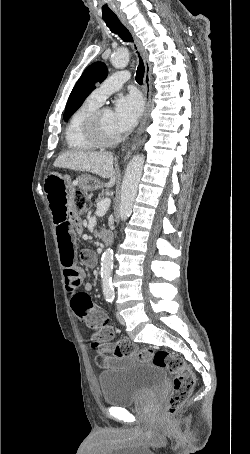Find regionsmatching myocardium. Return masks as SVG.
Wrapping results in <instances>:
<instances>
[{
  "instance_id": "myocardium-1",
  "label": "myocardium",
  "mask_w": 250,
  "mask_h": 454,
  "mask_svg": "<svg viewBox=\"0 0 250 454\" xmlns=\"http://www.w3.org/2000/svg\"><path fill=\"white\" fill-rule=\"evenodd\" d=\"M105 108L96 109L86 120L85 130L87 137L99 147L112 146L119 143L122 139L120 134L110 136L105 133L102 126V114Z\"/></svg>"
}]
</instances>
